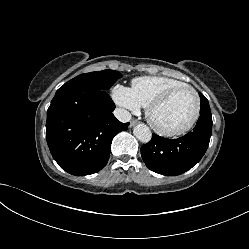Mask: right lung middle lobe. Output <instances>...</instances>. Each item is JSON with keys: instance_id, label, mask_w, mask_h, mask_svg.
Wrapping results in <instances>:
<instances>
[{"instance_id": "1", "label": "right lung middle lobe", "mask_w": 249, "mask_h": 249, "mask_svg": "<svg viewBox=\"0 0 249 249\" xmlns=\"http://www.w3.org/2000/svg\"><path fill=\"white\" fill-rule=\"evenodd\" d=\"M122 74L114 70H104L81 74L68 82L85 83L96 86L100 90L107 91Z\"/></svg>"}]
</instances>
